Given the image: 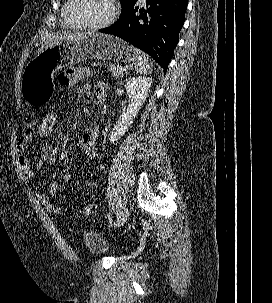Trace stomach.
<instances>
[{
  "mask_svg": "<svg viewBox=\"0 0 272 303\" xmlns=\"http://www.w3.org/2000/svg\"><path fill=\"white\" fill-rule=\"evenodd\" d=\"M87 59L136 61L134 48L125 41L96 32L69 38L46 47L25 67L21 79V94L28 105L39 106L52 95L54 74L67 66Z\"/></svg>",
  "mask_w": 272,
  "mask_h": 303,
  "instance_id": "obj_1",
  "label": "stomach"
}]
</instances>
